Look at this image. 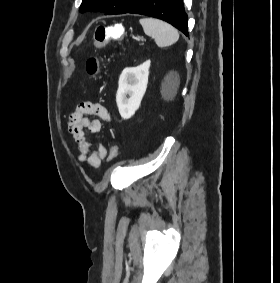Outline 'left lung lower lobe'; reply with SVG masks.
<instances>
[{"label": "left lung lower lobe", "mask_w": 280, "mask_h": 283, "mask_svg": "<svg viewBox=\"0 0 280 283\" xmlns=\"http://www.w3.org/2000/svg\"><path fill=\"white\" fill-rule=\"evenodd\" d=\"M127 13L142 14L167 21L188 36V18L183 0H142Z\"/></svg>", "instance_id": "left-lung-lower-lobe-1"}]
</instances>
